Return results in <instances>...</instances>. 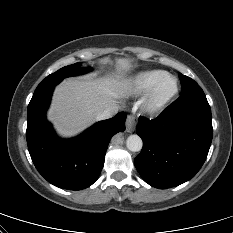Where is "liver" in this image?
<instances>
[{
	"mask_svg": "<svg viewBox=\"0 0 233 233\" xmlns=\"http://www.w3.org/2000/svg\"><path fill=\"white\" fill-rule=\"evenodd\" d=\"M131 68L130 61L117 60L121 75L94 79L89 76L69 78L55 89L48 118L63 137H71L96 121V116L124 95L128 83L123 73Z\"/></svg>",
	"mask_w": 233,
	"mask_h": 233,
	"instance_id": "liver-1",
	"label": "liver"
}]
</instances>
